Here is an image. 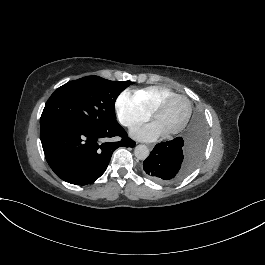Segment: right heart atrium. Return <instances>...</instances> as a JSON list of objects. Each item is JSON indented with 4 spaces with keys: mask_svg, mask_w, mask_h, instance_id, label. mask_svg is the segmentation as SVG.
Here are the masks:
<instances>
[{
    "mask_svg": "<svg viewBox=\"0 0 265 265\" xmlns=\"http://www.w3.org/2000/svg\"><path fill=\"white\" fill-rule=\"evenodd\" d=\"M117 108L123 123L133 129L142 125L151 118V112L135 96L123 93L118 101Z\"/></svg>",
    "mask_w": 265,
    "mask_h": 265,
    "instance_id": "obj_1",
    "label": "right heart atrium"
}]
</instances>
